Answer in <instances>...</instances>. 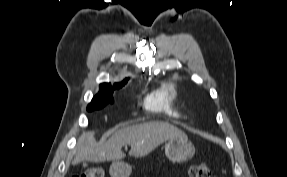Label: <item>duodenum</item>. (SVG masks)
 <instances>
[{
    "label": "duodenum",
    "mask_w": 287,
    "mask_h": 177,
    "mask_svg": "<svg viewBox=\"0 0 287 177\" xmlns=\"http://www.w3.org/2000/svg\"><path fill=\"white\" fill-rule=\"evenodd\" d=\"M117 174L123 175V174H124V171H122L121 169H118V170H117Z\"/></svg>",
    "instance_id": "410a0bca"
}]
</instances>
